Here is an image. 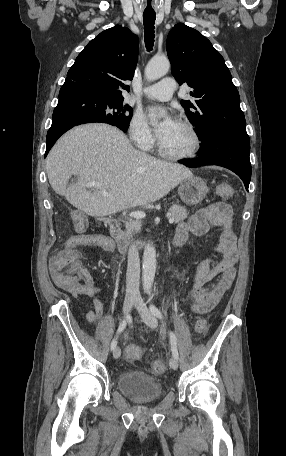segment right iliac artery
I'll return each instance as SVG.
<instances>
[{
	"label": "right iliac artery",
	"instance_id": "82829eb1",
	"mask_svg": "<svg viewBox=\"0 0 286 456\" xmlns=\"http://www.w3.org/2000/svg\"><path fill=\"white\" fill-rule=\"evenodd\" d=\"M129 318H130V316H127L126 319H124L120 323L119 328L117 330V335L114 337V339L111 342V350H114L116 348V346H117V336H118V334H120L126 328L127 321H128Z\"/></svg>",
	"mask_w": 286,
	"mask_h": 456
}]
</instances>
